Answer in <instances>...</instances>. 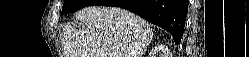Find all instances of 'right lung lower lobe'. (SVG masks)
<instances>
[{
	"instance_id": "98d812e1",
	"label": "right lung lower lobe",
	"mask_w": 249,
	"mask_h": 57,
	"mask_svg": "<svg viewBox=\"0 0 249 57\" xmlns=\"http://www.w3.org/2000/svg\"><path fill=\"white\" fill-rule=\"evenodd\" d=\"M98 5L127 9L170 32L176 44L182 38L187 0H103Z\"/></svg>"
}]
</instances>
